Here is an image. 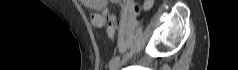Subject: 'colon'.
<instances>
[{"instance_id": "5ec220e1", "label": "colon", "mask_w": 238, "mask_h": 70, "mask_svg": "<svg viewBox=\"0 0 238 70\" xmlns=\"http://www.w3.org/2000/svg\"><path fill=\"white\" fill-rule=\"evenodd\" d=\"M150 4H151L150 1L146 3L147 6H150ZM117 24H118V19H109V24L107 26V36L110 39H113L116 34Z\"/></svg>"}]
</instances>
